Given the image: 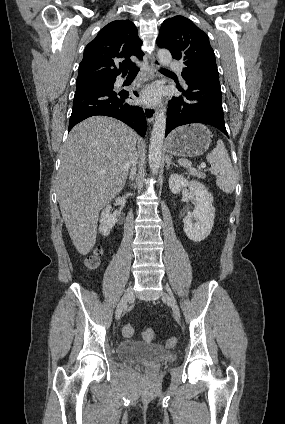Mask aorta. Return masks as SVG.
I'll use <instances>...</instances> for the list:
<instances>
[{"mask_svg": "<svg viewBox=\"0 0 285 424\" xmlns=\"http://www.w3.org/2000/svg\"><path fill=\"white\" fill-rule=\"evenodd\" d=\"M159 63L168 66L172 61L171 53L167 49H160L157 53ZM166 130V108L159 109L155 116L149 145V166L152 174H157L161 165L162 148Z\"/></svg>", "mask_w": 285, "mask_h": 424, "instance_id": "obj_1", "label": "aorta"}]
</instances>
